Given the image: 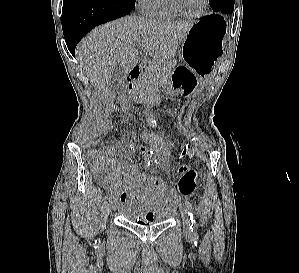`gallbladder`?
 <instances>
[{
	"label": "gallbladder",
	"instance_id": "gallbladder-1",
	"mask_svg": "<svg viewBox=\"0 0 299 273\" xmlns=\"http://www.w3.org/2000/svg\"><path fill=\"white\" fill-rule=\"evenodd\" d=\"M110 86L113 92H115L118 96H122L124 94V70L119 65H117L113 70Z\"/></svg>",
	"mask_w": 299,
	"mask_h": 273
}]
</instances>
